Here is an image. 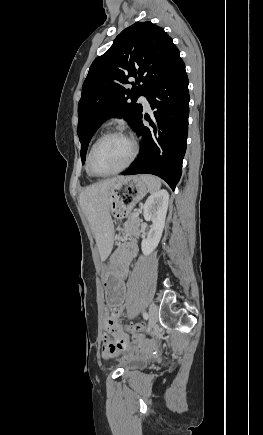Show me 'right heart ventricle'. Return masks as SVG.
I'll return each instance as SVG.
<instances>
[{
  "instance_id": "right-heart-ventricle-1",
  "label": "right heart ventricle",
  "mask_w": 263,
  "mask_h": 435,
  "mask_svg": "<svg viewBox=\"0 0 263 435\" xmlns=\"http://www.w3.org/2000/svg\"><path fill=\"white\" fill-rule=\"evenodd\" d=\"M86 172H87L88 176H90V177H94V175L91 174L90 171L88 170V168H87V164H86Z\"/></svg>"
}]
</instances>
